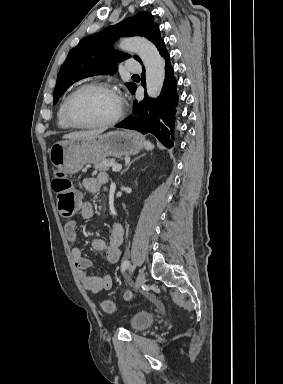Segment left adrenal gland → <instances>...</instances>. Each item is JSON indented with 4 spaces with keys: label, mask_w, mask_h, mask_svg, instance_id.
<instances>
[{
    "label": "left adrenal gland",
    "mask_w": 283,
    "mask_h": 384,
    "mask_svg": "<svg viewBox=\"0 0 283 384\" xmlns=\"http://www.w3.org/2000/svg\"><path fill=\"white\" fill-rule=\"evenodd\" d=\"M141 156H138V158H135V160H140ZM135 160H131V162H129L127 168H125V170H123V172H121V174H124V172H127V170H129L131 164H133V162H135Z\"/></svg>",
    "instance_id": "left-adrenal-gland-1"
}]
</instances>
